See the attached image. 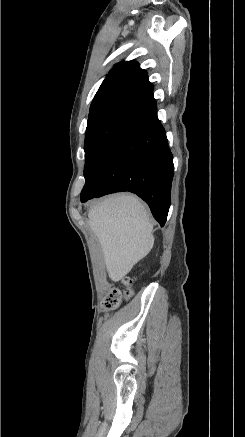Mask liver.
Segmentation results:
<instances>
[{
    "instance_id": "1",
    "label": "liver",
    "mask_w": 245,
    "mask_h": 437,
    "mask_svg": "<svg viewBox=\"0 0 245 437\" xmlns=\"http://www.w3.org/2000/svg\"><path fill=\"white\" fill-rule=\"evenodd\" d=\"M88 223L97 236L112 281L121 280L154 245L149 214L132 195L108 197L88 211Z\"/></svg>"
}]
</instances>
